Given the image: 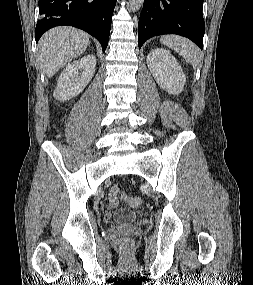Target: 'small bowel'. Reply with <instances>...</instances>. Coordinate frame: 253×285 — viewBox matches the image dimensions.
<instances>
[{"label":"small bowel","mask_w":253,"mask_h":285,"mask_svg":"<svg viewBox=\"0 0 253 285\" xmlns=\"http://www.w3.org/2000/svg\"><path fill=\"white\" fill-rule=\"evenodd\" d=\"M118 192L119 188L117 186L111 189L109 193V203L111 206H117L119 204Z\"/></svg>","instance_id":"c3829d8e"}]
</instances>
